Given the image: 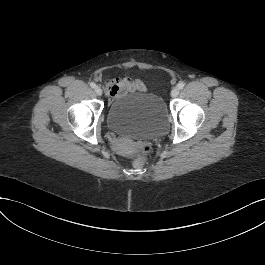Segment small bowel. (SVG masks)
Instances as JSON below:
<instances>
[{"mask_svg":"<svg viewBox=\"0 0 265 265\" xmlns=\"http://www.w3.org/2000/svg\"><path fill=\"white\" fill-rule=\"evenodd\" d=\"M144 84L137 79H110L106 83L107 94L110 98H116L135 90H144Z\"/></svg>","mask_w":265,"mask_h":265,"instance_id":"small-bowel-1","label":"small bowel"}]
</instances>
